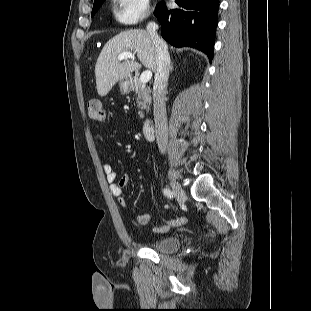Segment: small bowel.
<instances>
[{
	"mask_svg": "<svg viewBox=\"0 0 311 311\" xmlns=\"http://www.w3.org/2000/svg\"><path fill=\"white\" fill-rule=\"evenodd\" d=\"M103 172L106 176L107 182L110 184V190L114 196L117 197L118 203L121 207L125 208L127 206L126 199L123 196V189L128 185L130 177L128 175H123L118 180L117 172L115 171L111 163H104L102 165ZM151 220L149 214H139L136 216V222L140 225H147ZM184 218H177L173 220H166L164 224L160 227L153 229L154 233L162 234L168 232L172 227L181 226L185 223Z\"/></svg>",
	"mask_w": 311,
	"mask_h": 311,
	"instance_id": "obj_1",
	"label": "small bowel"
}]
</instances>
